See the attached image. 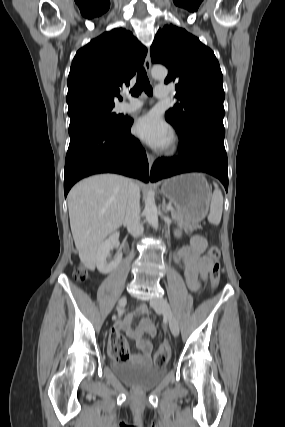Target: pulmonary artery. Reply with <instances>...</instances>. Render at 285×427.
<instances>
[{
  "mask_svg": "<svg viewBox=\"0 0 285 427\" xmlns=\"http://www.w3.org/2000/svg\"><path fill=\"white\" fill-rule=\"evenodd\" d=\"M170 95V89L167 85H157L155 96L159 99L167 98ZM143 101L127 97V100L120 103L118 109L120 112H132L143 106Z\"/></svg>",
  "mask_w": 285,
  "mask_h": 427,
  "instance_id": "1",
  "label": "pulmonary artery"
}]
</instances>
